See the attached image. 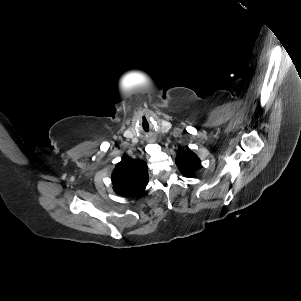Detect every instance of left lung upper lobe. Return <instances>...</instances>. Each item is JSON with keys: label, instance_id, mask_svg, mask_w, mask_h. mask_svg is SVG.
<instances>
[{"label": "left lung upper lobe", "instance_id": "left-lung-upper-lobe-1", "mask_svg": "<svg viewBox=\"0 0 301 301\" xmlns=\"http://www.w3.org/2000/svg\"><path fill=\"white\" fill-rule=\"evenodd\" d=\"M176 165L185 177H192L200 167L201 162L195 153L190 149L181 151L176 157Z\"/></svg>", "mask_w": 301, "mask_h": 301}]
</instances>
